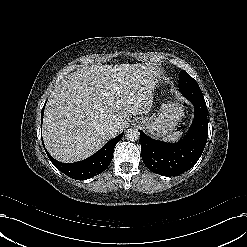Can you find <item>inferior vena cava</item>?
<instances>
[{
	"instance_id": "1",
	"label": "inferior vena cava",
	"mask_w": 247,
	"mask_h": 247,
	"mask_svg": "<svg viewBox=\"0 0 247 247\" xmlns=\"http://www.w3.org/2000/svg\"><path fill=\"white\" fill-rule=\"evenodd\" d=\"M119 127V123L117 122H111L108 126L109 131L116 132Z\"/></svg>"
}]
</instances>
